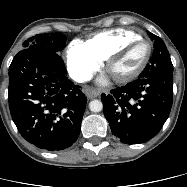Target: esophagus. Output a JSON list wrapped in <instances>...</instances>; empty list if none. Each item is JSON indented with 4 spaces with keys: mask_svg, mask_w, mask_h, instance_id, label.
I'll use <instances>...</instances> for the list:
<instances>
[{
    "mask_svg": "<svg viewBox=\"0 0 187 187\" xmlns=\"http://www.w3.org/2000/svg\"><path fill=\"white\" fill-rule=\"evenodd\" d=\"M84 92H85L87 98H89V99L96 98L100 94L97 90H94V89H92L90 87H85L84 88Z\"/></svg>",
    "mask_w": 187,
    "mask_h": 187,
    "instance_id": "esophagus-1",
    "label": "esophagus"
}]
</instances>
